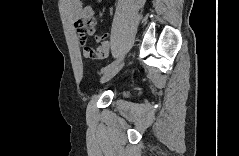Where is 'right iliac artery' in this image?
<instances>
[{
  "label": "right iliac artery",
  "mask_w": 239,
  "mask_h": 156,
  "mask_svg": "<svg viewBox=\"0 0 239 156\" xmlns=\"http://www.w3.org/2000/svg\"><path fill=\"white\" fill-rule=\"evenodd\" d=\"M121 60V57L115 61H113L112 63H110L109 65H107L106 67L101 69V73L106 72L109 68H111L112 66H114L115 64H117L119 61Z\"/></svg>",
  "instance_id": "obj_1"
}]
</instances>
